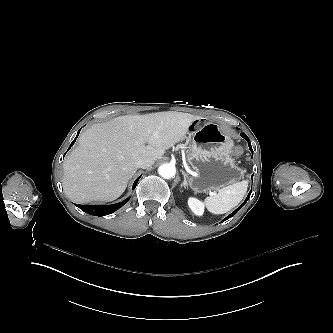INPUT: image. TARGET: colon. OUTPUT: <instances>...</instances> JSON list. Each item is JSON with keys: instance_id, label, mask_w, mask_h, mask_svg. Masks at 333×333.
Here are the masks:
<instances>
[{"instance_id": "obj_1", "label": "colon", "mask_w": 333, "mask_h": 333, "mask_svg": "<svg viewBox=\"0 0 333 333\" xmlns=\"http://www.w3.org/2000/svg\"><path fill=\"white\" fill-rule=\"evenodd\" d=\"M234 153H235L236 155H241V153H242V148H241V147H237V148L234 150Z\"/></svg>"}]
</instances>
